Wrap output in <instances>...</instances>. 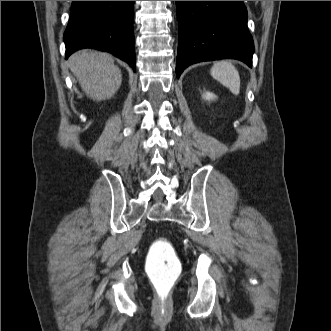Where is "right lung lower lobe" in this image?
<instances>
[{"label": "right lung lower lobe", "instance_id": "obj_1", "mask_svg": "<svg viewBox=\"0 0 331 331\" xmlns=\"http://www.w3.org/2000/svg\"><path fill=\"white\" fill-rule=\"evenodd\" d=\"M134 1H72L64 33L66 58L82 48L107 51L135 71Z\"/></svg>", "mask_w": 331, "mask_h": 331}]
</instances>
